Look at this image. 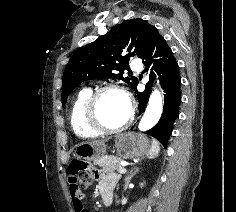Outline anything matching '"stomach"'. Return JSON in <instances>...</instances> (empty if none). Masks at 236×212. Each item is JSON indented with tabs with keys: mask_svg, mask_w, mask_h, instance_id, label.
<instances>
[{
	"mask_svg": "<svg viewBox=\"0 0 236 212\" xmlns=\"http://www.w3.org/2000/svg\"><path fill=\"white\" fill-rule=\"evenodd\" d=\"M115 149L121 157H143L150 151V141L144 135L123 133L115 136ZM106 154V146H94L89 143H80L75 147L74 156L86 161L102 159Z\"/></svg>",
	"mask_w": 236,
	"mask_h": 212,
	"instance_id": "1",
	"label": "stomach"
}]
</instances>
